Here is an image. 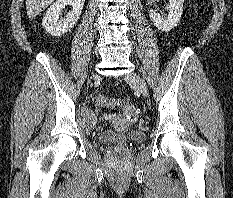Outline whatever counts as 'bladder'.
I'll return each mask as SVG.
<instances>
[{
    "mask_svg": "<svg viewBox=\"0 0 233 198\" xmlns=\"http://www.w3.org/2000/svg\"><path fill=\"white\" fill-rule=\"evenodd\" d=\"M86 126H93L96 123V114L92 111H86L83 115ZM145 139V133L141 129H133L126 133L111 131L104 135L103 140L107 143H138Z\"/></svg>",
    "mask_w": 233,
    "mask_h": 198,
    "instance_id": "obj_1",
    "label": "bladder"
}]
</instances>
